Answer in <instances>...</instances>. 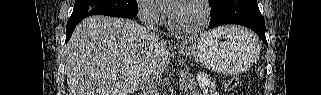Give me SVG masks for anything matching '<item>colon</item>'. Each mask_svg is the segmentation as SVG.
I'll use <instances>...</instances> for the list:
<instances>
[{"label":"colon","instance_id":"colon-1","mask_svg":"<svg viewBox=\"0 0 321 95\" xmlns=\"http://www.w3.org/2000/svg\"><path fill=\"white\" fill-rule=\"evenodd\" d=\"M239 85V79L236 77H231L226 80V82L223 85V90L225 92H232L235 90Z\"/></svg>","mask_w":321,"mask_h":95}]
</instances>
